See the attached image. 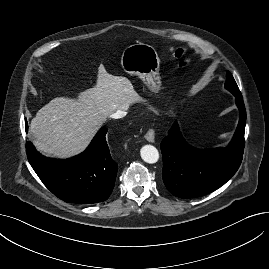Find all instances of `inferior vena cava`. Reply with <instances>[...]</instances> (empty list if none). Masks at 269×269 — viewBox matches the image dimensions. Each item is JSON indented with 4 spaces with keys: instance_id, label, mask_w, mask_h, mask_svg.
Instances as JSON below:
<instances>
[{
    "instance_id": "1",
    "label": "inferior vena cava",
    "mask_w": 269,
    "mask_h": 269,
    "mask_svg": "<svg viewBox=\"0 0 269 269\" xmlns=\"http://www.w3.org/2000/svg\"><path fill=\"white\" fill-rule=\"evenodd\" d=\"M126 114H127L126 111L118 110L115 113H113L111 117L114 119H118V118H123L124 116H126Z\"/></svg>"
}]
</instances>
